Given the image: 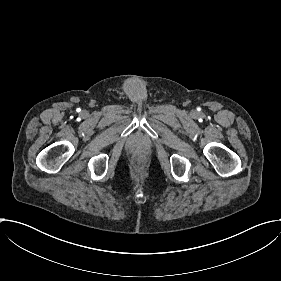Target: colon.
I'll use <instances>...</instances> for the list:
<instances>
[{
    "instance_id": "1",
    "label": "colon",
    "mask_w": 281,
    "mask_h": 281,
    "mask_svg": "<svg viewBox=\"0 0 281 281\" xmlns=\"http://www.w3.org/2000/svg\"><path fill=\"white\" fill-rule=\"evenodd\" d=\"M130 167L136 173H143L147 167V159L141 154H134L129 160Z\"/></svg>"
}]
</instances>
